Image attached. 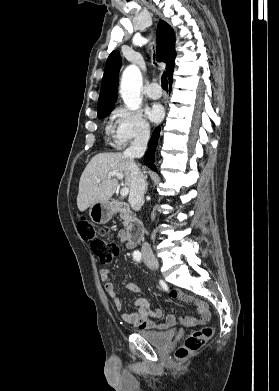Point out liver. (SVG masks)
Listing matches in <instances>:
<instances>
[{"mask_svg": "<svg viewBox=\"0 0 279 391\" xmlns=\"http://www.w3.org/2000/svg\"><path fill=\"white\" fill-rule=\"evenodd\" d=\"M111 172L122 174L125 185L131 188L129 159L121 153L97 154L87 164L79 181L77 206L81 212L94 203L109 200L114 194L118 180L115 176L108 177ZM97 180L100 182L97 183Z\"/></svg>", "mask_w": 279, "mask_h": 391, "instance_id": "6515ba94", "label": "liver"}]
</instances>
